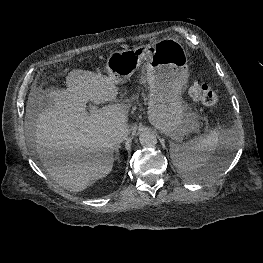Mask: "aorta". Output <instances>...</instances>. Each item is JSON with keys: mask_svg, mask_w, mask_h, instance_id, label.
Masks as SVG:
<instances>
[{"mask_svg": "<svg viewBox=\"0 0 263 263\" xmlns=\"http://www.w3.org/2000/svg\"><path fill=\"white\" fill-rule=\"evenodd\" d=\"M140 144L146 148H152L157 144V137L151 131H144L139 136Z\"/></svg>", "mask_w": 263, "mask_h": 263, "instance_id": "aorta-1", "label": "aorta"}]
</instances>
